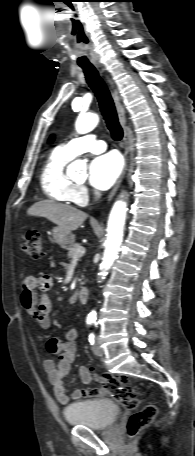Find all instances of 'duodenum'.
Segmentation results:
<instances>
[{"instance_id":"410a0bca","label":"duodenum","mask_w":195,"mask_h":456,"mask_svg":"<svg viewBox=\"0 0 195 456\" xmlns=\"http://www.w3.org/2000/svg\"><path fill=\"white\" fill-rule=\"evenodd\" d=\"M89 296L88 289L86 287H81L78 291V298L82 303L87 302Z\"/></svg>"}]
</instances>
